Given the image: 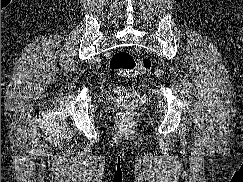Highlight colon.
<instances>
[{"label": "colon", "mask_w": 243, "mask_h": 182, "mask_svg": "<svg viewBox=\"0 0 243 182\" xmlns=\"http://www.w3.org/2000/svg\"><path fill=\"white\" fill-rule=\"evenodd\" d=\"M152 62L148 57L135 58L130 52L119 51L110 60V68L120 76H132L145 73L151 69ZM117 93L126 112H131L140 102V95L131 89L118 87Z\"/></svg>", "instance_id": "colon-1"}]
</instances>
